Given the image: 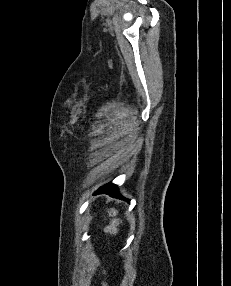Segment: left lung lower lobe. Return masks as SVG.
<instances>
[{
    "mask_svg": "<svg viewBox=\"0 0 231 286\" xmlns=\"http://www.w3.org/2000/svg\"><path fill=\"white\" fill-rule=\"evenodd\" d=\"M117 186L116 185H113L111 183L107 184V185H104L103 187L99 188L95 194H98V193H107L111 196H114V197H119V198H122L118 192H117Z\"/></svg>",
    "mask_w": 231,
    "mask_h": 286,
    "instance_id": "obj_1",
    "label": "left lung lower lobe"
}]
</instances>
